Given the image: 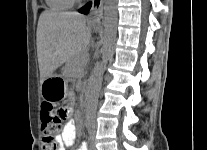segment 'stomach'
I'll list each match as a JSON object with an SVG mask.
<instances>
[{"instance_id": "obj_1", "label": "stomach", "mask_w": 207, "mask_h": 150, "mask_svg": "<svg viewBox=\"0 0 207 150\" xmlns=\"http://www.w3.org/2000/svg\"><path fill=\"white\" fill-rule=\"evenodd\" d=\"M41 94L44 99L56 101L69 96L67 81L58 75H52L41 84Z\"/></svg>"}]
</instances>
